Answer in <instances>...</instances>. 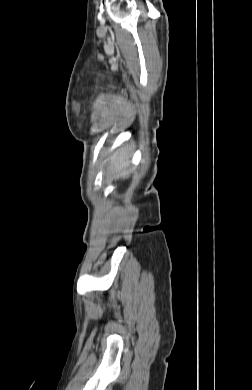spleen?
Returning a JSON list of instances; mask_svg holds the SVG:
<instances>
[{
  "mask_svg": "<svg viewBox=\"0 0 252 390\" xmlns=\"http://www.w3.org/2000/svg\"><path fill=\"white\" fill-rule=\"evenodd\" d=\"M125 154L123 152L120 153L119 156H114L112 158V162L113 164L115 165L116 169L118 170V172H121L122 175H125L126 174V171H125V168L128 164V161L125 160Z\"/></svg>",
  "mask_w": 252,
  "mask_h": 390,
  "instance_id": "3e777b00",
  "label": "spleen"
}]
</instances>
